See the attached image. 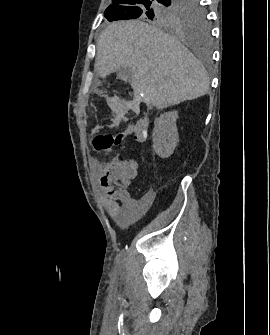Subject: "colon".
Returning a JSON list of instances; mask_svg holds the SVG:
<instances>
[{
	"label": "colon",
	"mask_w": 270,
	"mask_h": 335,
	"mask_svg": "<svg viewBox=\"0 0 270 335\" xmlns=\"http://www.w3.org/2000/svg\"><path fill=\"white\" fill-rule=\"evenodd\" d=\"M128 134L130 133L127 130L117 134H110L107 132L99 133L92 139L94 150L98 153L108 151L113 147L122 144Z\"/></svg>",
	"instance_id": "colon-1"
}]
</instances>
